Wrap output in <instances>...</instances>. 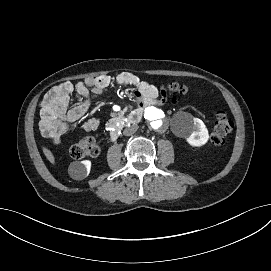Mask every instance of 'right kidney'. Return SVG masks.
<instances>
[{
  "instance_id": "1",
  "label": "right kidney",
  "mask_w": 271,
  "mask_h": 271,
  "mask_svg": "<svg viewBox=\"0 0 271 271\" xmlns=\"http://www.w3.org/2000/svg\"><path fill=\"white\" fill-rule=\"evenodd\" d=\"M91 162L89 160L75 161L69 165V175L75 180H83L90 173Z\"/></svg>"
}]
</instances>
